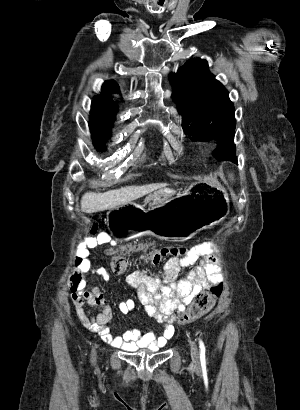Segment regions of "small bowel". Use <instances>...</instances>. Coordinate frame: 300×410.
<instances>
[{
  "label": "small bowel",
  "mask_w": 300,
  "mask_h": 410,
  "mask_svg": "<svg viewBox=\"0 0 300 410\" xmlns=\"http://www.w3.org/2000/svg\"><path fill=\"white\" fill-rule=\"evenodd\" d=\"M107 241L106 234H99L78 245V254L83 257L81 268L91 271L105 281L109 280L108 271L102 266H95L89 255L91 249ZM200 256L203 258L199 260ZM185 267L190 270L185 277L180 278V271ZM220 280L219 260L215 246L210 243L193 245L185 258H170L164 266L162 278L141 269L127 274L126 282L137 290L139 301L146 313L158 324L157 331L145 333L132 329L123 335L112 334L109 324L113 319V309L99 287L87 289V281H83L80 289L72 293V301L81 323L98 333L107 344L126 351L139 348L157 350L165 346L174 334V314L183 311L195 295L210 283ZM135 306L134 300L126 299L118 304V311L128 314ZM90 308L96 310L97 314L94 315Z\"/></svg>",
  "instance_id": "1"
}]
</instances>
